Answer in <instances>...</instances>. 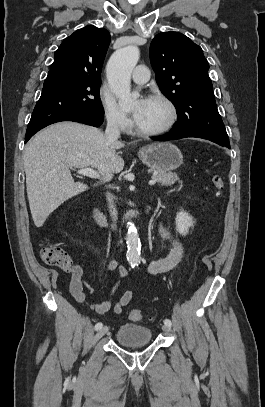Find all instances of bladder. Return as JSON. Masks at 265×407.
<instances>
[{
  "mask_svg": "<svg viewBox=\"0 0 265 407\" xmlns=\"http://www.w3.org/2000/svg\"><path fill=\"white\" fill-rule=\"evenodd\" d=\"M115 339L118 344L124 346L144 345L151 341L152 331L148 327L127 323L118 329Z\"/></svg>",
  "mask_w": 265,
  "mask_h": 407,
  "instance_id": "bladder-1",
  "label": "bladder"
}]
</instances>
